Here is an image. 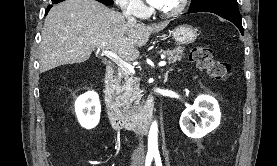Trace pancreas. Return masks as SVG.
<instances>
[{"label":"pancreas","mask_w":277,"mask_h":166,"mask_svg":"<svg viewBox=\"0 0 277 166\" xmlns=\"http://www.w3.org/2000/svg\"><path fill=\"white\" fill-rule=\"evenodd\" d=\"M183 48L161 50L160 52L168 57L169 63H176L184 56ZM138 84L133 77V74L128 70L120 69L113 82V90L115 91V99L118 100L124 111L131 114H138L141 112V105L137 100Z\"/></svg>","instance_id":"1"}]
</instances>
